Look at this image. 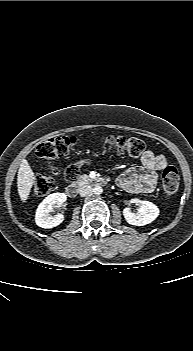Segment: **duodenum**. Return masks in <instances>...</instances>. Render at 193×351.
Wrapping results in <instances>:
<instances>
[{
  "label": "duodenum",
  "instance_id": "1",
  "mask_svg": "<svg viewBox=\"0 0 193 351\" xmlns=\"http://www.w3.org/2000/svg\"><path fill=\"white\" fill-rule=\"evenodd\" d=\"M91 182L99 183V184H106V180L100 177H93L90 179ZM79 192V185L76 183L70 184L66 188V193L69 197L73 198L78 195Z\"/></svg>",
  "mask_w": 193,
  "mask_h": 351
}]
</instances>
